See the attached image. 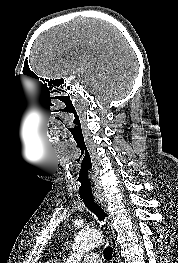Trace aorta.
<instances>
[{"label":"aorta","mask_w":178,"mask_h":263,"mask_svg":"<svg viewBox=\"0 0 178 263\" xmlns=\"http://www.w3.org/2000/svg\"><path fill=\"white\" fill-rule=\"evenodd\" d=\"M102 242L99 232L93 230H81L74 238L73 254L66 263H80L83 255Z\"/></svg>","instance_id":"762f6f07"}]
</instances>
